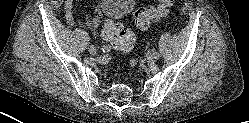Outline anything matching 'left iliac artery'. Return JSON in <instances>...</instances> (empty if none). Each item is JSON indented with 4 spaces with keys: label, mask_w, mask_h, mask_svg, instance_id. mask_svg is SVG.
Returning a JSON list of instances; mask_svg holds the SVG:
<instances>
[{
    "label": "left iliac artery",
    "mask_w": 249,
    "mask_h": 123,
    "mask_svg": "<svg viewBox=\"0 0 249 123\" xmlns=\"http://www.w3.org/2000/svg\"><path fill=\"white\" fill-rule=\"evenodd\" d=\"M155 59H158L160 57V54L158 52H154Z\"/></svg>",
    "instance_id": "obj_1"
}]
</instances>
